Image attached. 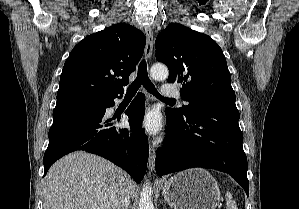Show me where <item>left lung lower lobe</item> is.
<instances>
[{
    "instance_id": "1",
    "label": "left lung lower lobe",
    "mask_w": 299,
    "mask_h": 209,
    "mask_svg": "<svg viewBox=\"0 0 299 209\" xmlns=\"http://www.w3.org/2000/svg\"><path fill=\"white\" fill-rule=\"evenodd\" d=\"M166 114L165 143L156 153L159 176L193 167L231 175L249 195L239 111L233 102L205 101L186 117Z\"/></svg>"
}]
</instances>
